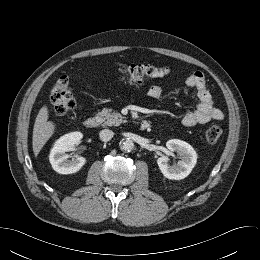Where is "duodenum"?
Masks as SVG:
<instances>
[{
    "label": "duodenum",
    "mask_w": 260,
    "mask_h": 260,
    "mask_svg": "<svg viewBox=\"0 0 260 260\" xmlns=\"http://www.w3.org/2000/svg\"><path fill=\"white\" fill-rule=\"evenodd\" d=\"M100 122L96 117H88L84 121V126L88 129H94L99 126ZM141 130H147L150 128V123L147 120H142L139 124Z\"/></svg>",
    "instance_id": "duodenum-1"
}]
</instances>
